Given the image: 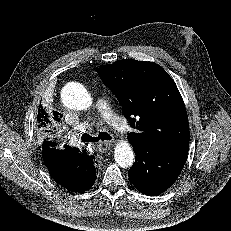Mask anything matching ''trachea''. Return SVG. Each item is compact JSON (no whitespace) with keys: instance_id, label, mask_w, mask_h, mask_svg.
<instances>
[{"instance_id":"1","label":"trachea","mask_w":231,"mask_h":231,"mask_svg":"<svg viewBox=\"0 0 231 231\" xmlns=\"http://www.w3.org/2000/svg\"><path fill=\"white\" fill-rule=\"evenodd\" d=\"M111 139H112V137L107 132H99L97 137H92L87 133H84L81 136L82 142H98L99 140L108 141Z\"/></svg>"}]
</instances>
